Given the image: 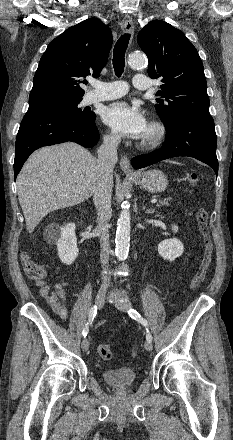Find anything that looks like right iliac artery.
Returning <instances> with one entry per match:
<instances>
[{
    "mask_svg": "<svg viewBox=\"0 0 233 440\" xmlns=\"http://www.w3.org/2000/svg\"><path fill=\"white\" fill-rule=\"evenodd\" d=\"M96 314H97V306L94 305L89 310V321L86 323L85 327L83 328V332H82L83 337L87 336V334L89 332V325L91 324V322L95 318Z\"/></svg>",
    "mask_w": 233,
    "mask_h": 440,
    "instance_id": "obj_1",
    "label": "right iliac artery"
}]
</instances>
